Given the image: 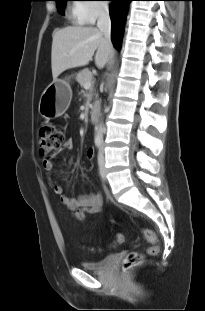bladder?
<instances>
[{"label":"bladder","instance_id":"31cf9c89","mask_svg":"<svg viewBox=\"0 0 205 311\" xmlns=\"http://www.w3.org/2000/svg\"><path fill=\"white\" fill-rule=\"evenodd\" d=\"M114 259L113 255L107 256L103 259L91 261V262H82L80 264L81 268L90 271H103L110 264V262Z\"/></svg>","mask_w":205,"mask_h":311}]
</instances>
